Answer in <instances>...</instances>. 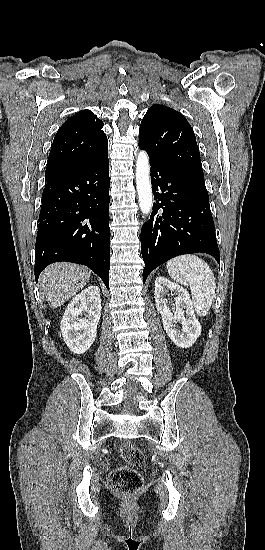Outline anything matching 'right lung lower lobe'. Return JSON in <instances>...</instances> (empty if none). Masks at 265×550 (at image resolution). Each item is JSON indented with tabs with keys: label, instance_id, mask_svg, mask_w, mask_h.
I'll use <instances>...</instances> for the list:
<instances>
[{
	"label": "right lung lower lobe",
	"instance_id": "right-lung-lower-lobe-1",
	"mask_svg": "<svg viewBox=\"0 0 265 550\" xmlns=\"http://www.w3.org/2000/svg\"><path fill=\"white\" fill-rule=\"evenodd\" d=\"M46 176L35 246V279L51 263L88 266L109 289V159L52 171Z\"/></svg>",
	"mask_w": 265,
	"mask_h": 550
}]
</instances>
